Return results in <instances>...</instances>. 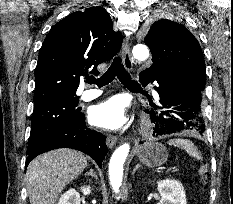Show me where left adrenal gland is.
<instances>
[{"instance_id":"left-adrenal-gland-1","label":"left adrenal gland","mask_w":233,"mask_h":204,"mask_svg":"<svg viewBox=\"0 0 233 204\" xmlns=\"http://www.w3.org/2000/svg\"><path fill=\"white\" fill-rule=\"evenodd\" d=\"M138 168H139V165H136L135 168L133 169V172H132L133 176Z\"/></svg>"}]
</instances>
